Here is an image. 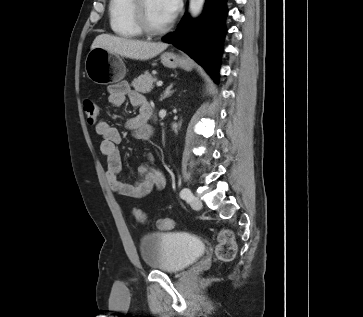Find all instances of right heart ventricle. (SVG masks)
Instances as JSON below:
<instances>
[{"label":"right heart ventricle","mask_w":363,"mask_h":317,"mask_svg":"<svg viewBox=\"0 0 363 317\" xmlns=\"http://www.w3.org/2000/svg\"><path fill=\"white\" fill-rule=\"evenodd\" d=\"M133 0H110L108 5L110 28L118 36L135 38L142 32L132 18Z\"/></svg>","instance_id":"obj_1"}]
</instances>
